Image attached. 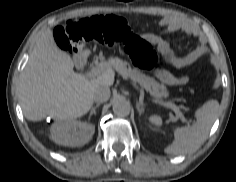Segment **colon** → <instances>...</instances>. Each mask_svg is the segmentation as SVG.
Listing matches in <instances>:
<instances>
[{
  "instance_id": "1",
  "label": "colon",
  "mask_w": 236,
  "mask_h": 182,
  "mask_svg": "<svg viewBox=\"0 0 236 182\" xmlns=\"http://www.w3.org/2000/svg\"><path fill=\"white\" fill-rule=\"evenodd\" d=\"M54 35L60 48L70 53L80 51L89 42L117 44L137 67L151 69L156 64L149 43L133 33L125 20L116 16L71 19L57 26Z\"/></svg>"
}]
</instances>
